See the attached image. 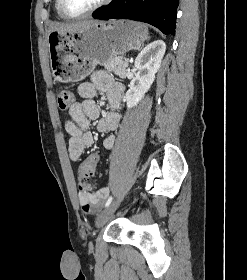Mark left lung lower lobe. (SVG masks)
Returning <instances> with one entry per match:
<instances>
[{"label": "left lung lower lobe", "mask_w": 247, "mask_h": 280, "mask_svg": "<svg viewBox=\"0 0 247 280\" xmlns=\"http://www.w3.org/2000/svg\"><path fill=\"white\" fill-rule=\"evenodd\" d=\"M178 0H113L95 19L125 18L149 23L164 34L175 35Z\"/></svg>", "instance_id": "obj_1"}]
</instances>
